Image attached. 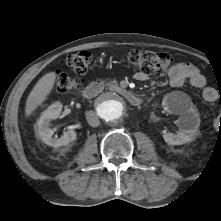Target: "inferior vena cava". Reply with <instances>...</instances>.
<instances>
[{
    "label": "inferior vena cava",
    "instance_id": "obj_1",
    "mask_svg": "<svg viewBox=\"0 0 221 221\" xmlns=\"http://www.w3.org/2000/svg\"><path fill=\"white\" fill-rule=\"evenodd\" d=\"M87 121L90 126L97 127L100 124L99 118L96 116V114L93 111H90L87 115Z\"/></svg>",
    "mask_w": 221,
    "mask_h": 221
}]
</instances>
